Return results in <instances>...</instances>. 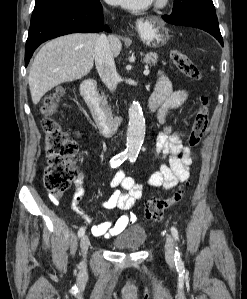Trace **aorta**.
I'll list each match as a JSON object with an SVG mask.
<instances>
[{"instance_id":"obj_1","label":"aorta","mask_w":247,"mask_h":299,"mask_svg":"<svg viewBox=\"0 0 247 299\" xmlns=\"http://www.w3.org/2000/svg\"><path fill=\"white\" fill-rule=\"evenodd\" d=\"M128 116L126 153L136 156L142 146L146 130L142 108L138 102L134 101L130 105Z\"/></svg>"}]
</instances>
